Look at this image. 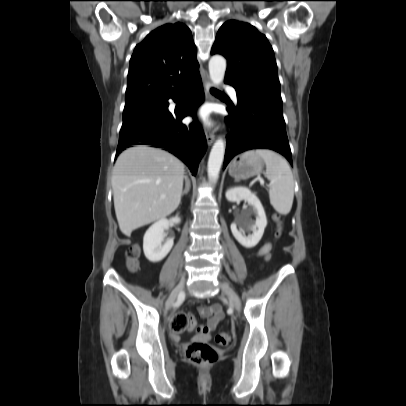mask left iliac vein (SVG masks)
I'll use <instances>...</instances> for the list:
<instances>
[{
  "instance_id": "obj_1",
  "label": "left iliac vein",
  "mask_w": 406,
  "mask_h": 406,
  "mask_svg": "<svg viewBox=\"0 0 406 406\" xmlns=\"http://www.w3.org/2000/svg\"><path fill=\"white\" fill-rule=\"evenodd\" d=\"M220 287L222 291L227 295L231 306L239 311L241 309V302L234 290L226 284H221Z\"/></svg>"
}]
</instances>
